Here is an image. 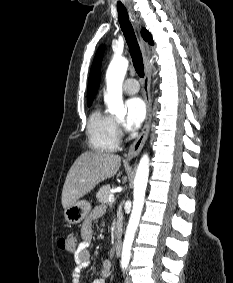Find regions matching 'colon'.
I'll return each instance as SVG.
<instances>
[{"mask_svg": "<svg viewBox=\"0 0 233 283\" xmlns=\"http://www.w3.org/2000/svg\"><path fill=\"white\" fill-rule=\"evenodd\" d=\"M58 246L60 249L74 253L77 251L78 237L75 233H69L58 240Z\"/></svg>", "mask_w": 233, "mask_h": 283, "instance_id": "obj_1", "label": "colon"}]
</instances>
